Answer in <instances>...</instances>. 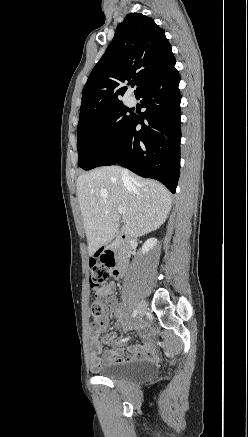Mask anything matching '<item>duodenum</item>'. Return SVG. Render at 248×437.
<instances>
[{
	"instance_id": "410a0bca",
	"label": "duodenum",
	"mask_w": 248,
	"mask_h": 437,
	"mask_svg": "<svg viewBox=\"0 0 248 437\" xmlns=\"http://www.w3.org/2000/svg\"><path fill=\"white\" fill-rule=\"evenodd\" d=\"M130 251L129 239L126 235H120L114 242L102 248H96L94 255L96 257H106L112 260L114 268V276L121 275V266L127 261ZM118 265V266H117Z\"/></svg>"
}]
</instances>
